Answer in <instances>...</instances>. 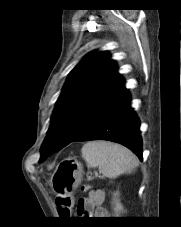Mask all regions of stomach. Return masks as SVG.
Returning a JSON list of instances; mask_svg holds the SVG:
<instances>
[{"mask_svg":"<svg viewBox=\"0 0 181 227\" xmlns=\"http://www.w3.org/2000/svg\"><path fill=\"white\" fill-rule=\"evenodd\" d=\"M82 177V164L74 158H68L57 165L51 176L50 185L57 196L64 198L71 195L78 188Z\"/></svg>","mask_w":181,"mask_h":227,"instance_id":"stomach-1","label":"stomach"}]
</instances>
